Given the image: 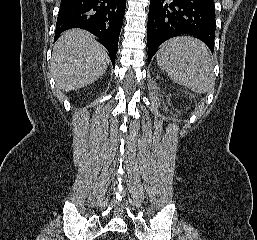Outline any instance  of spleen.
Segmentation results:
<instances>
[{
	"instance_id": "1",
	"label": "spleen",
	"mask_w": 257,
	"mask_h": 240,
	"mask_svg": "<svg viewBox=\"0 0 257 240\" xmlns=\"http://www.w3.org/2000/svg\"><path fill=\"white\" fill-rule=\"evenodd\" d=\"M156 59L173 82L198 94L213 91V63L202 41L190 36L172 38L160 46Z\"/></svg>"
}]
</instances>
